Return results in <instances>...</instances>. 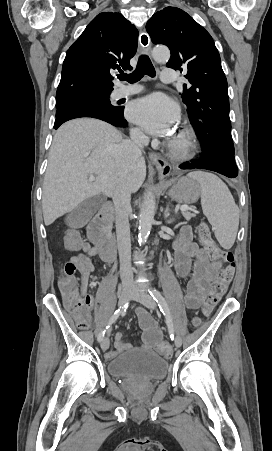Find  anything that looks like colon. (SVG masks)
<instances>
[{
    "mask_svg": "<svg viewBox=\"0 0 272 451\" xmlns=\"http://www.w3.org/2000/svg\"><path fill=\"white\" fill-rule=\"evenodd\" d=\"M199 238L204 245L209 249V258H218L225 260L227 263L225 267L219 272L217 280L210 288L206 295V303L204 311L211 313L213 308L220 302L223 295L226 293L235 272V257L228 249H218L217 244L211 238L210 231L206 226H203L199 231ZM62 249H76L79 237L76 230H63L62 233ZM80 271H94V262H87L86 258L68 259L64 266L60 268L59 282L61 287V297H65V303H72V310H87L91 301L90 294H87L86 288H78V280H76V269ZM194 324H199L200 319L195 318ZM87 320H81L77 326L80 329L88 327ZM158 354H173L174 346L168 342H159L157 344Z\"/></svg>",
    "mask_w": 272,
    "mask_h": 451,
    "instance_id": "5ec220e1",
    "label": "colon"
}]
</instances>
